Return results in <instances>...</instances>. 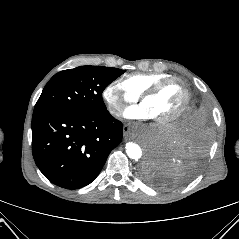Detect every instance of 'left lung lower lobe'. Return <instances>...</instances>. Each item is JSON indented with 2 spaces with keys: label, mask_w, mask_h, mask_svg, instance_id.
<instances>
[{
  "label": "left lung lower lobe",
  "mask_w": 239,
  "mask_h": 239,
  "mask_svg": "<svg viewBox=\"0 0 239 239\" xmlns=\"http://www.w3.org/2000/svg\"><path fill=\"white\" fill-rule=\"evenodd\" d=\"M209 144L208 111L194 102L171 131L150 148L143 174L150 184L162 189L185 184L198 172Z\"/></svg>",
  "instance_id": "1"
}]
</instances>
